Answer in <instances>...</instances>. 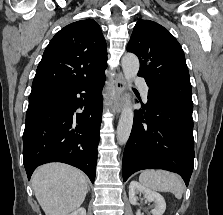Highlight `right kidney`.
<instances>
[{
	"mask_svg": "<svg viewBox=\"0 0 223 215\" xmlns=\"http://www.w3.org/2000/svg\"><path fill=\"white\" fill-rule=\"evenodd\" d=\"M69 215H86V209L85 207H78V209H75V211H72Z\"/></svg>",
	"mask_w": 223,
	"mask_h": 215,
	"instance_id": "obj_1",
	"label": "right kidney"
}]
</instances>
